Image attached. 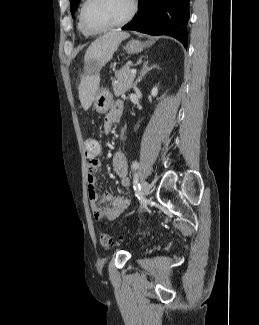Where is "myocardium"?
Wrapping results in <instances>:
<instances>
[{
	"mask_svg": "<svg viewBox=\"0 0 259 325\" xmlns=\"http://www.w3.org/2000/svg\"><path fill=\"white\" fill-rule=\"evenodd\" d=\"M94 2V0H85L81 11H80V21H81V25L84 28V30L86 32H88L91 35H95V34H100V33H104L107 31H110L112 29L121 27L123 25H125L126 23H128L135 15L136 11H137V2L136 0H131V6H130V10L128 12V14L120 21L111 24L109 26L103 27V28H92L86 19V12L89 8V6Z\"/></svg>",
	"mask_w": 259,
	"mask_h": 325,
	"instance_id": "1",
	"label": "myocardium"
}]
</instances>
